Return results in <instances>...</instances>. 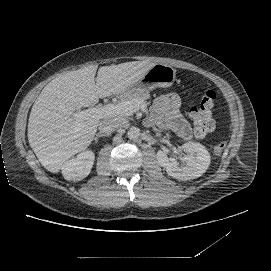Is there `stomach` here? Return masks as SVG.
<instances>
[{
  "label": "stomach",
  "instance_id": "obj_1",
  "mask_svg": "<svg viewBox=\"0 0 271 271\" xmlns=\"http://www.w3.org/2000/svg\"><path fill=\"white\" fill-rule=\"evenodd\" d=\"M175 80L176 71L172 66L157 63L151 67L142 78L130 85L120 96L133 94L139 90H142V92H149L157 87H170Z\"/></svg>",
  "mask_w": 271,
  "mask_h": 271
}]
</instances>
